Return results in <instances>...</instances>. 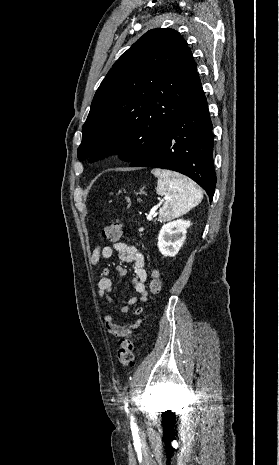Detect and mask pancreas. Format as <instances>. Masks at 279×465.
I'll return each mask as SVG.
<instances>
[{
	"label": "pancreas",
	"instance_id": "pancreas-1",
	"mask_svg": "<svg viewBox=\"0 0 279 465\" xmlns=\"http://www.w3.org/2000/svg\"><path fill=\"white\" fill-rule=\"evenodd\" d=\"M142 231H143V228H140V229H139V232H142Z\"/></svg>",
	"mask_w": 279,
	"mask_h": 465
}]
</instances>
